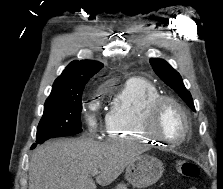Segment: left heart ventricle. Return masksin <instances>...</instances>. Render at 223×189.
I'll use <instances>...</instances> for the list:
<instances>
[{
	"instance_id": "1",
	"label": "left heart ventricle",
	"mask_w": 223,
	"mask_h": 189,
	"mask_svg": "<svg viewBox=\"0 0 223 189\" xmlns=\"http://www.w3.org/2000/svg\"><path fill=\"white\" fill-rule=\"evenodd\" d=\"M158 133L170 142L178 141L184 135L185 122L180 111L166 103L157 119Z\"/></svg>"
}]
</instances>
